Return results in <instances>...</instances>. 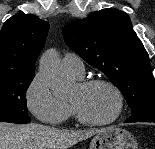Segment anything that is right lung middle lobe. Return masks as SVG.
<instances>
[{
    "label": "right lung middle lobe",
    "instance_id": "dd1d6c3e",
    "mask_svg": "<svg viewBox=\"0 0 155 149\" xmlns=\"http://www.w3.org/2000/svg\"><path fill=\"white\" fill-rule=\"evenodd\" d=\"M35 76L34 71L0 75V121L29 123L26 90Z\"/></svg>",
    "mask_w": 155,
    "mask_h": 149
}]
</instances>
